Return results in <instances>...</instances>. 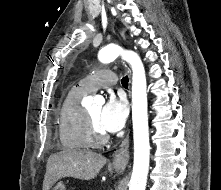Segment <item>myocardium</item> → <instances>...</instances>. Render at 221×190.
I'll return each instance as SVG.
<instances>
[{
    "label": "myocardium",
    "mask_w": 221,
    "mask_h": 190,
    "mask_svg": "<svg viewBox=\"0 0 221 190\" xmlns=\"http://www.w3.org/2000/svg\"><path fill=\"white\" fill-rule=\"evenodd\" d=\"M85 128L86 137L90 146H99L108 141V135L104 132L98 131L90 117V114L85 110Z\"/></svg>",
    "instance_id": "f54148a6"
}]
</instances>
